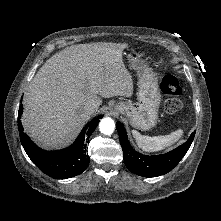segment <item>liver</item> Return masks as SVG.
Returning <instances> with one entry per match:
<instances>
[{"label": "liver", "instance_id": "obj_1", "mask_svg": "<svg viewBox=\"0 0 221 221\" xmlns=\"http://www.w3.org/2000/svg\"><path fill=\"white\" fill-rule=\"evenodd\" d=\"M128 44L73 45L49 58L31 81L22 125L45 148L68 144L90 115L85 105L113 96L131 97L133 80L122 53Z\"/></svg>", "mask_w": 221, "mask_h": 221}]
</instances>
